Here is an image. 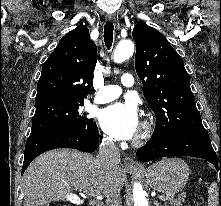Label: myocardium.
I'll return each mask as SVG.
<instances>
[{
	"label": "myocardium",
	"instance_id": "1",
	"mask_svg": "<svg viewBox=\"0 0 221 206\" xmlns=\"http://www.w3.org/2000/svg\"><path fill=\"white\" fill-rule=\"evenodd\" d=\"M151 130H152L151 123L149 121H145L143 123L141 132L139 136L135 139L134 143L136 145L142 144L149 137Z\"/></svg>",
	"mask_w": 221,
	"mask_h": 206
}]
</instances>
